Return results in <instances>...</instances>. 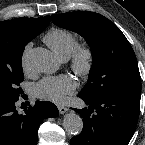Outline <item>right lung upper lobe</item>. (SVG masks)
Here are the masks:
<instances>
[{
    "instance_id": "obj_1",
    "label": "right lung upper lobe",
    "mask_w": 145,
    "mask_h": 145,
    "mask_svg": "<svg viewBox=\"0 0 145 145\" xmlns=\"http://www.w3.org/2000/svg\"><path fill=\"white\" fill-rule=\"evenodd\" d=\"M49 23L50 16L0 22V66H10L22 59L24 47Z\"/></svg>"
}]
</instances>
